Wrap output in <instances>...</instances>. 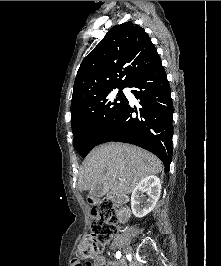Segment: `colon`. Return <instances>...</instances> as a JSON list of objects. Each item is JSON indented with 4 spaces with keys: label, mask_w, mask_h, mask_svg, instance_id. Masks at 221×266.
Returning <instances> with one entry per match:
<instances>
[{
    "label": "colon",
    "mask_w": 221,
    "mask_h": 266,
    "mask_svg": "<svg viewBox=\"0 0 221 266\" xmlns=\"http://www.w3.org/2000/svg\"><path fill=\"white\" fill-rule=\"evenodd\" d=\"M94 220L91 231L80 241L78 257L81 259L96 258L102 250V245L116 233V207L111 200H103L92 210Z\"/></svg>",
    "instance_id": "1"
}]
</instances>
